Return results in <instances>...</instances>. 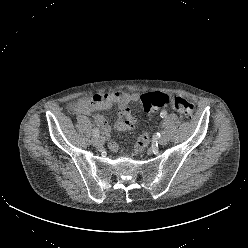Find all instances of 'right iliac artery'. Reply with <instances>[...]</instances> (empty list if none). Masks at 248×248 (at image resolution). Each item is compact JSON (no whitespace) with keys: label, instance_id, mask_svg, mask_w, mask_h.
<instances>
[{"label":"right iliac artery","instance_id":"obj_1","mask_svg":"<svg viewBox=\"0 0 248 248\" xmlns=\"http://www.w3.org/2000/svg\"><path fill=\"white\" fill-rule=\"evenodd\" d=\"M93 136H99V130L97 128H94Z\"/></svg>","mask_w":248,"mask_h":248}]
</instances>
